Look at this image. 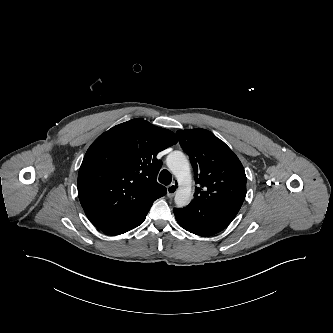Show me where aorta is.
Instances as JSON below:
<instances>
[{
    "label": "aorta",
    "instance_id": "obj_1",
    "mask_svg": "<svg viewBox=\"0 0 333 333\" xmlns=\"http://www.w3.org/2000/svg\"><path fill=\"white\" fill-rule=\"evenodd\" d=\"M167 166L176 177L179 188L174 198L175 204L183 208L191 199V172L186 156L180 151H173L167 157Z\"/></svg>",
    "mask_w": 333,
    "mask_h": 333
}]
</instances>
